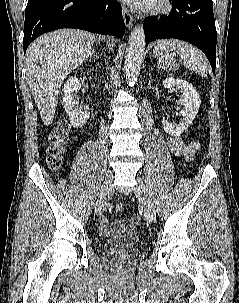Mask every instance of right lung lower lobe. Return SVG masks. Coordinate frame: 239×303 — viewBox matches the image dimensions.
<instances>
[{
    "mask_svg": "<svg viewBox=\"0 0 239 303\" xmlns=\"http://www.w3.org/2000/svg\"><path fill=\"white\" fill-rule=\"evenodd\" d=\"M60 28L122 37L125 25L117 0H28L24 22V53L38 36Z\"/></svg>",
    "mask_w": 239,
    "mask_h": 303,
    "instance_id": "right-lung-lower-lobe-1",
    "label": "right lung lower lobe"
}]
</instances>
